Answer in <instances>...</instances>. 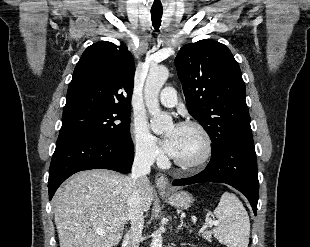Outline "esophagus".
I'll return each mask as SVG.
<instances>
[{"label": "esophagus", "instance_id": "1", "mask_svg": "<svg viewBox=\"0 0 310 247\" xmlns=\"http://www.w3.org/2000/svg\"><path fill=\"white\" fill-rule=\"evenodd\" d=\"M155 182L159 192H167L169 190V180L164 174L158 173Z\"/></svg>", "mask_w": 310, "mask_h": 247}]
</instances>
